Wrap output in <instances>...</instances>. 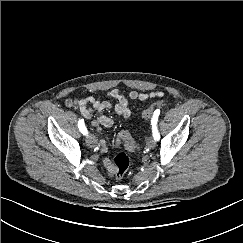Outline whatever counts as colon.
<instances>
[{
    "label": "colon",
    "mask_w": 243,
    "mask_h": 243,
    "mask_svg": "<svg viewBox=\"0 0 243 243\" xmlns=\"http://www.w3.org/2000/svg\"><path fill=\"white\" fill-rule=\"evenodd\" d=\"M164 105V101H158L145 109L142 113V117L145 119H149L153 113ZM117 144H123L124 147L131 152H135L139 150V145L131 138L130 134L126 131H122L119 133L117 138ZM130 165V159L125 153H119L115 156L113 161L114 167V176L116 179H122L127 173Z\"/></svg>",
    "instance_id": "1"
}]
</instances>
